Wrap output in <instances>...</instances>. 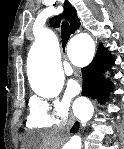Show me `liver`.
Wrapping results in <instances>:
<instances>
[{
  "mask_svg": "<svg viewBox=\"0 0 124 149\" xmlns=\"http://www.w3.org/2000/svg\"><path fill=\"white\" fill-rule=\"evenodd\" d=\"M60 138L54 133H34L26 137V143L33 149H57L60 145Z\"/></svg>",
  "mask_w": 124,
  "mask_h": 149,
  "instance_id": "1",
  "label": "liver"
}]
</instances>
